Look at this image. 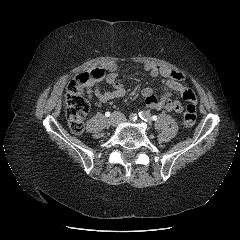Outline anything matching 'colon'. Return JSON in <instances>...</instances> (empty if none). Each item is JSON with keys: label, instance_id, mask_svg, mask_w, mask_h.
<instances>
[{"label": "colon", "instance_id": "1", "mask_svg": "<svg viewBox=\"0 0 240 240\" xmlns=\"http://www.w3.org/2000/svg\"><path fill=\"white\" fill-rule=\"evenodd\" d=\"M105 75L102 68L93 69L87 73L77 75L68 85L66 94V118L70 130L80 134L84 130L85 117L90 105L85 98L88 85L94 80H101ZM183 121L187 127H191L196 121V105L188 102L184 107Z\"/></svg>", "mask_w": 240, "mask_h": 240}]
</instances>
